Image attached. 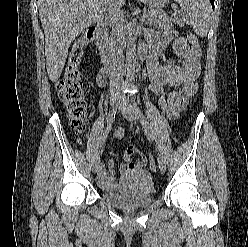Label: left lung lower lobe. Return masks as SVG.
<instances>
[{
	"instance_id": "obj_1",
	"label": "left lung lower lobe",
	"mask_w": 248,
	"mask_h": 247,
	"mask_svg": "<svg viewBox=\"0 0 248 247\" xmlns=\"http://www.w3.org/2000/svg\"><path fill=\"white\" fill-rule=\"evenodd\" d=\"M212 7L214 8V0H210Z\"/></svg>"
}]
</instances>
